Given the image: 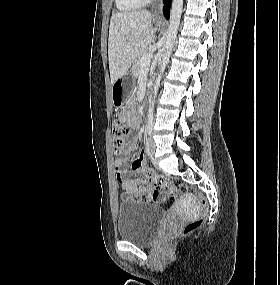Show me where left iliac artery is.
Here are the masks:
<instances>
[{
	"instance_id": "left-iliac-artery-1",
	"label": "left iliac artery",
	"mask_w": 280,
	"mask_h": 285,
	"mask_svg": "<svg viewBox=\"0 0 280 285\" xmlns=\"http://www.w3.org/2000/svg\"><path fill=\"white\" fill-rule=\"evenodd\" d=\"M153 128V117H149L147 122V133L150 135Z\"/></svg>"
}]
</instances>
